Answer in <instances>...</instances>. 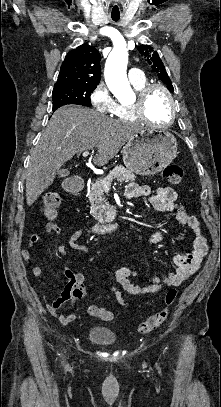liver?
Listing matches in <instances>:
<instances>
[{"instance_id":"obj_1","label":"liver","mask_w":221,"mask_h":407,"mask_svg":"<svg viewBox=\"0 0 221 407\" xmlns=\"http://www.w3.org/2000/svg\"><path fill=\"white\" fill-rule=\"evenodd\" d=\"M142 128L80 106L66 105L52 115L33 149L26 174V202L31 206L54 182L61 166L75 154L97 148L93 161L107 164Z\"/></svg>"}]
</instances>
